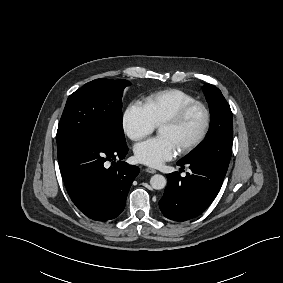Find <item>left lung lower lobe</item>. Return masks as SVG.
Wrapping results in <instances>:
<instances>
[{"label": "left lung lower lobe", "instance_id": "1", "mask_svg": "<svg viewBox=\"0 0 283 283\" xmlns=\"http://www.w3.org/2000/svg\"><path fill=\"white\" fill-rule=\"evenodd\" d=\"M189 165L190 173L167 175L168 184L159 201L163 215L171 220L186 221L200 215L215 199L222 186L227 168L208 160L179 161Z\"/></svg>", "mask_w": 283, "mask_h": 283}]
</instances>
